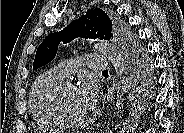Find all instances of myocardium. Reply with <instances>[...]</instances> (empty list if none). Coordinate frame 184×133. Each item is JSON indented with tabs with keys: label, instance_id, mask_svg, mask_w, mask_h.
<instances>
[{
	"label": "myocardium",
	"instance_id": "f54148a6",
	"mask_svg": "<svg viewBox=\"0 0 184 133\" xmlns=\"http://www.w3.org/2000/svg\"><path fill=\"white\" fill-rule=\"evenodd\" d=\"M69 87H75V85L71 81H63L56 87L51 99L52 109L57 118L59 119L60 123L77 125L86 120L87 114L78 118L69 117L65 114L62 107V95L64 91Z\"/></svg>",
	"mask_w": 184,
	"mask_h": 133
}]
</instances>
